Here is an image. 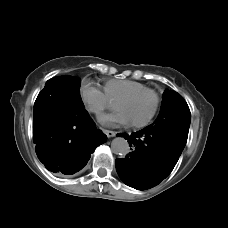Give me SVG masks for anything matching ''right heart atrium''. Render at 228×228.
Returning <instances> with one entry per match:
<instances>
[{
    "mask_svg": "<svg viewBox=\"0 0 228 228\" xmlns=\"http://www.w3.org/2000/svg\"><path fill=\"white\" fill-rule=\"evenodd\" d=\"M82 99L89 111L100 114L104 110L113 108V103L99 89L93 86H84L82 89Z\"/></svg>",
    "mask_w": 228,
    "mask_h": 228,
    "instance_id": "d8ad5b80",
    "label": "right heart atrium"
}]
</instances>
